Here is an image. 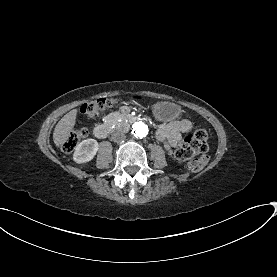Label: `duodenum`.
<instances>
[{
  "label": "duodenum",
  "mask_w": 277,
  "mask_h": 277,
  "mask_svg": "<svg viewBox=\"0 0 277 277\" xmlns=\"http://www.w3.org/2000/svg\"><path fill=\"white\" fill-rule=\"evenodd\" d=\"M130 119L124 120L118 124L119 129H126L130 124ZM111 130V126L106 123H100L94 128V134L97 138H104Z\"/></svg>",
  "instance_id": "1"
}]
</instances>
